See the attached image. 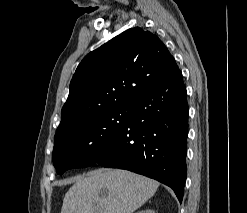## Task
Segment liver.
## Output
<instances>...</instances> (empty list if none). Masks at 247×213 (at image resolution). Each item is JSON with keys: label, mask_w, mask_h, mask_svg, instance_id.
<instances>
[{"label": "liver", "mask_w": 247, "mask_h": 213, "mask_svg": "<svg viewBox=\"0 0 247 213\" xmlns=\"http://www.w3.org/2000/svg\"><path fill=\"white\" fill-rule=\"evenodd\" d=\"M158 186L157 181L127 170H93L76 178L65 194L61 213H133Z\"/></svg>", "instance_id": "liver-1"}]
</instances>
